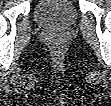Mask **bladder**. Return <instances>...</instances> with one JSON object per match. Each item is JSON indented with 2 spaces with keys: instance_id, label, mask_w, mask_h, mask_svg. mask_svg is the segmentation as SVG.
<instances>
[{
  "instance_id": "1",
  "label": "bladder",
  "mask_w": 111,
  "mask_h": 106,
  "mask_svg": "<svg viewBox=\"0 0 111 106\" xmlns=\"http://www.w3.org/2000/svg\"><path fill=\"white\" fill-rule=\"evenodd\" d=\"M78 10L69 0H42L34 10L36 21L46 28L65 29L78 19Z\"/></svg>"
}]
</instances>
